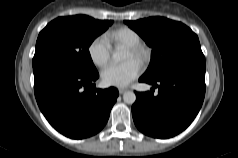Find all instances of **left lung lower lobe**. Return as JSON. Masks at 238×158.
<instances>
[{"label":"left lung lower lobe","instance_id":"obj_1","mask_svg":"<svg viewBox=\"0 0 238 158\" xmlns=\"http://www.w3.org/2000/svg\"><path fill=\"white\" fill-rule=\"evenodd\" d=\"M205 60L176 65L155 80L140 78L158 88L135 92L132 116L137 128L155 138H170L185 130L198 114L205 96Z\"/></svg>","mask_w":238,"mask_h":158}]
</instances>
